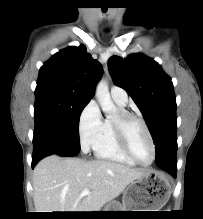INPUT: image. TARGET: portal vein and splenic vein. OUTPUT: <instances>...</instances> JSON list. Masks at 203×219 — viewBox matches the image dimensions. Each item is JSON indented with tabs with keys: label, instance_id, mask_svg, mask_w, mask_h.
Returning a JSON list of instances; mask_svg holds the SVG:
<instances>
[{
	"label": "portal vein and splenic vein",
	"instance_id": "portal-vein-and-splenic-vein-1",
	"mask_svg": "<svg viewBox=\"0 0 203 219\" xmlns=\"http://www.w3.org/2000/svg\"><path fill=\"white\" fill-rule=\"evenodd\" d=\"M90 194V190L88 189H84L82 192H81V196H85V195H88Z\"/></svg>",
	"mask_w": 203,
	"mask_h": 219
}]
</instances>
